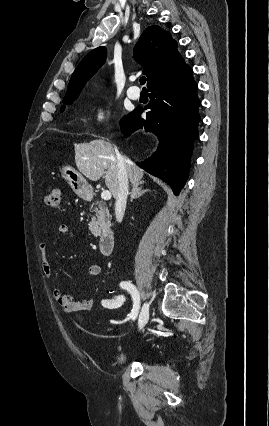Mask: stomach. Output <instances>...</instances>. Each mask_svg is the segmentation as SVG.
Wrapping results in <instances>:
<instances>
[{
  "mask_svg": "<svg viewBox=\"0 0 269 426\" xmlns=\"http://www.w3.org/2000/svg\"><path fill=\"white\" fill-rule=\"evenodd\" d=\"M60 172L77 196L85 199L91 195V185L77 170L71 166L63 165L60 167Z\"/></svg>",
  "mask_w": 269,
  "mask_h": 426,
  "instance_id": "obj_1",
  "label": "stomach"
}]
</instances>
